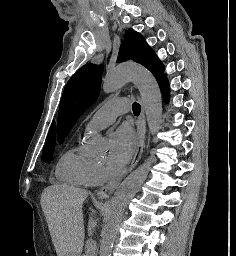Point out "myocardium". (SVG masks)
<instances>
[{
	"mask_svg": "<svg viewBox=\"0 0 236 256\" xmlns=\"http://www.w3.org/2000/svg\"><path fill=\"white\" fill-rule=\"evenodd\" d=\"M122 84L117 85V87H120Z\"/></svg>",
	"mask_w": 236,
	"mask_h": 256,
	"instance_id": "obj_1",
	"label": "myocardium"
}]
</instances>
